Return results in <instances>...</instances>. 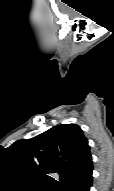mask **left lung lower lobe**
I'll return each mask as SVG.
<instances>
[{
	"mask_svg": "<svg viewBox=\"0 0 114 191\" xmlns=\"http://www.w3.org/2000/svg\"><path fill=\"white\" fill-rule=\"evenodd\" d=\"M93 163L91 157L67 180L60 191H90Z\"/></svg>",
	"mask_w": 114,
	"mask_h": 191,
	"instance_id": "left-lung-lower-lobe-1",
	"label": "left lung lower lobe"
}]
</instances>
